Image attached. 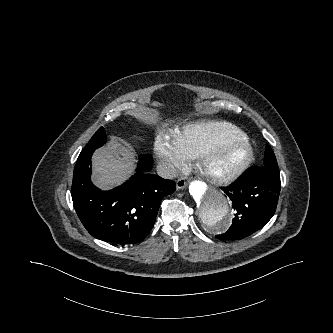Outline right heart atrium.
Wrapping results in <instances>:
<instances>
[{
	"mask_svg": "<svg viewBox=\"0 0 333 333\" xmlns=\"http://www.w3.org/2000/svg\"><path fill=\"white\" fill-rule=\"evenodd\" d=\"M154 153L168 176H173L187 164V158L179 150L175 142L164 134L156 136Z\"/></svg>",
	"mask_w": 333,
	"mask_h": 333,
	"instance_id": "right-heart-atrium-1",
	"label": "right heart atrium"
}]
</instances>
